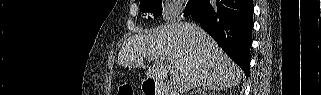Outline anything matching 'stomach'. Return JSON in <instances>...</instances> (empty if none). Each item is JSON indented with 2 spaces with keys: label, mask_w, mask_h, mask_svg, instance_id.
Segmentation results:
<instances>
[{
  "label": "stomach",
  "mask_w": 321,
  "mask_h": 95,
  "mask_svg": "<svg viewBox=\"0 0 321 95\" xmlns=\"http://www.w3.org/2000/svg\"><path fill=\"white\" fill-rule=\"evenodd\" d=\"M142 84H143V85L146 84V80H144Z\"/></svg>",
  "instance_id": "1"
}]
</instances>
